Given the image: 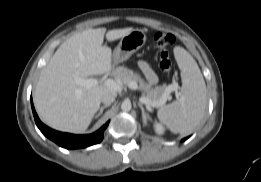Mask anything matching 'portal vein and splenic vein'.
I'll return each mask as SVG.
<instances>
[{
  "label": "portal vein and splenic vein",
  "instance_id": "1",
  "mask_svg": "<svg viewBox=\"0 0 261 182\" xmlns=\"http://www.w3.org/2000/svg\"><path fill=\"white\" fill-rule=\"evenodd\" d=\"M75 82L77 84L86 86L88 88L92 87V86H95V85H98L99 83H103L105 86H107L111 90L118 91V92L123 90V84L121 82L115 81V80L110 79V78L98 80V79H93V78L83 79V78H80V77H76L75 78ZM126 85L130 89H132V90L138 89V85H137V83L135 81H129ZM177 88H178V86L176 84L168 86V88H167V90H166V92H165V94L163 96V100L159 103V105L153 104L145 96H141L140 97V102L145 104L147 107H150V106H153V107L161 106V105L165 104V102L167 101V98L169 97L170 92L171 91H177Z\"/></svg>",
  "mask_w": 261,
  "mask_h": 182
}]
</instances>
